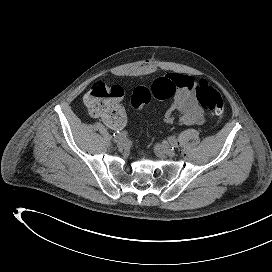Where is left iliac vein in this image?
<instances>
[{"label":"left iliac vein","instance_id":"1","mask_svg":"<svg viewBox=\"0 0 272 272\" xmlns=\"http://www.w3.org/2000/svg\"><path fill=\"white\" fill-rule=\"evenodd\" d=\"M156 151L159 154L166 155L168 157H174L175 156V151L171 149V146L168 143H162V144H157L156 145Z\"/></svg>","mask_w":272,"mask_h":272}]
</instances>
